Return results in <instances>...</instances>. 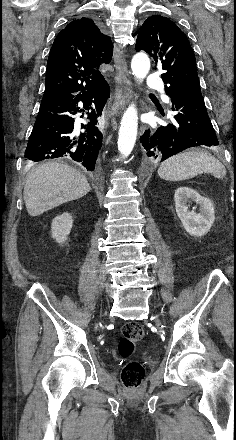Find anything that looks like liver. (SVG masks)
<instances>
[{
    "instance_id": "1",
    "label": "liver",
    "mask_w": 236,
    "mask_h": 440,
    "mask_svg": "<svg viewBox=\"0 0 236 440\" xmlns=\"http://www.w3.org/2000/svg\"><path fill=\"white\" fill-rule=\"evenodd\" d=\"M86 177L74 168L49 162L35 168L27 177L23 197L30 216H39L63 203L90 192Z\"/></svg>"
}]
</instances>
